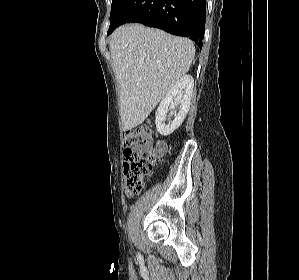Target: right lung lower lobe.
I'll return each instance as SVG.
<instances>
[{
	"instance_id": "1",
	"label": "right lung lower lobe",
	"mask_w": 299,
	"mask_h": 280,
	"mask_svg": "<svg viewBox=\"0 0 299 280\" xmlns=\"http://www.w3.org/2000/svg\"><path fill=\"white\" fill-rule=\"evenodd\" d=\"M205 18L206 0H126L107 35L124 23L137 22L188 37L202 48Z\"/></svg>"
}]
</instances>
